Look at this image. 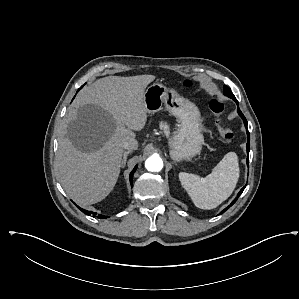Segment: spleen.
Instances as JSON below:
<instances>
[{
    "label": "spleen",
    "instance_id": "3e777b00",
    "mask_svg": "<svg viewBox=\"0 0 299 299\" xmlns=\"http://www.w3.org/2000/svg\"><path fill=\"white\" fill-rule=\"evenodd\" d=\"M239 179V165L236 153L229 152L205 178L180 172L179 180L195 206L213 209L233 193Z\"/></svg>",
    "mask_w": 299,
    "mask_h": 299
}]
</instances>
